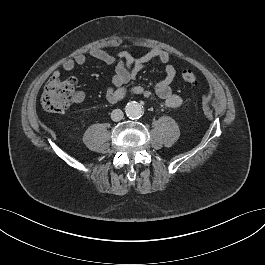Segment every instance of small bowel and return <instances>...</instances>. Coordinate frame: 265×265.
<instances>
[{"label": "small bowel", "instance_id": "c3829d8e", "mask_svg": "<svg viewBox=\"0 0 265 265\" xmlns=\"http://www.w3.org/2000/svg\"><path fill=\"white\" fill-rule=\"evenodd\" d=\"M88 55L96 60L115 66V75L112 77L111 85L106 92V99L109 103L115 104L122 100L127 93L126 86L128 82L136 78L145 65L152 61H159L164 65V77L156 84L154 90L150 91L141 86H135L131 89V92L135 95L155 100L168 108L181 106L183 102L181 96L172 90V82L176 76V69L170 63L171 55L169 52L161 49H152L140 56H134L122 50L110 54L102 49L95 48L90 50ZM86 62L87 55L79 53L73 58L64 60L62 69L72 71L77 65H83ZM52 75L60 77L61 72L55 70ZM84 98L85 94L82 91H77L74 96V102L80 103Z\"/></svg>", "mask_w": 265, "mask_h": 265}]
</instances>
